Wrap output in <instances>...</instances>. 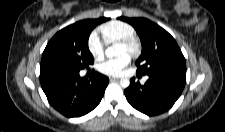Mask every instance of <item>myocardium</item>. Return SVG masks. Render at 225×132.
<instances>
[{
	"label": "myocardium",
	"instance_id": "myocardium-1",
	"mask_svg": "<svg viewBox=\"0 0 225 132\" xmlns=\"http://www.w3.org/2000/svg\"><path fill=\"white\" fill-rule=\"evenodd\" d=\"M118 44L126 47L128 54H130L132 57H137L141 53V43L135 36L122 39L118 41Z\"/></svg>",
	"mask_w": 225,
	"mask_h": 132
}]
</instances>
